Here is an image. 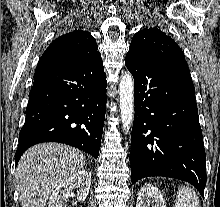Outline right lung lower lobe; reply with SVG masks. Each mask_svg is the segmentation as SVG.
<instances>
[{"label":"right lung lower lobe","instance_id":"98d812e1","mask_svg":"<svg viewBox=\"0 0 220 207\" xmlns=\"http://www.w3.org/2000/svg\"><path fill=\"white\" fill-rule=\"evenodd\" d=\"M106 86L99 52L73 63L37 66L19 134L16 164L29 147L43 142L65 143L97 158Z\"/></svg>","mask_w":220,"mask_h":207}]
</instances>
